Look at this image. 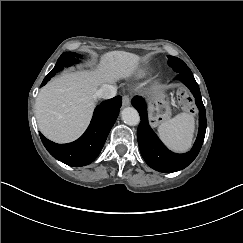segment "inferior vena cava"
Returning <instances> with one entry per match:
<instances>
[{"label":"inferior vena cava","mask_w":243,"mask_h":243,"mask_svg":"<svg viewBox=\"0 0 243 243\" xmlns=\"http://www.w3.org/2000/svg\"><path fill=\"white\" fill-rule=\"evenodd\" d=\"M117 87L109 84H104L98 90L97 96L103 99H110L116 96Z\"/></svg>","instance_id":"1"}]
</instances>
